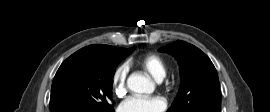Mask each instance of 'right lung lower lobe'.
Instances as JSON below:
<instances>
[{
	"mask_svg": "<svg viewBox=\"0 0 270 112\" xmlns=\"http://www.w3.org/2000/svg\"><path fill=\"white\" fill-rule=\"evenodd\" d=\"M53 112H87V111L75 110V109H64V110H56Z\"/></svg>",
	"mask_w": 270,
	"mask_h": 112,
	"instance_id": "obj_1",
	"label": "right lung lower lobe"
}]
</instances>
